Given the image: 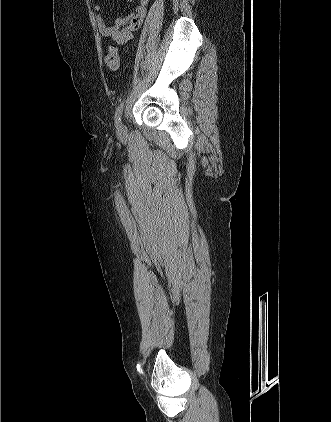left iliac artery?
<instances>
[{
    "label": "left iliac artery",
    "instance_id": "44dca946",
    "mask_svg": "<svg viewBox=\"0 0 331 422\" xmlns=\"http://www.w3.org/2000/svg\"><path fill=\"white\" fill-rule=\"evenodd\" d=\"M123 106H124V100L119 104V106L117 107L116 112H115V125H116V127L120 126Z\"/></svg>",
    "mask_w": 331,
    "mask_h": 422
}]
</instances>
